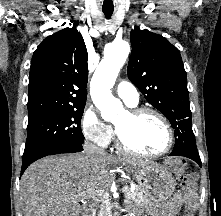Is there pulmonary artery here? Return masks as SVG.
<instances>
[{
    "label": "pulmonary artery",
    "mask_w": 221,
    "mask_h": 216,
    "mask_svg": "<svg viewBox=\"0 0 221 216\" xmlns=\"http://www.w3.org/2000/svg\"><path fill=\"white\" fill-rule=\"evenodd\" d=\"M117 95L129 106H136L139 102V93L129 81H121L116 86Z\"/></svg>",
    "instance_id": "pulmonary-artery-1"
}]
</instances>
